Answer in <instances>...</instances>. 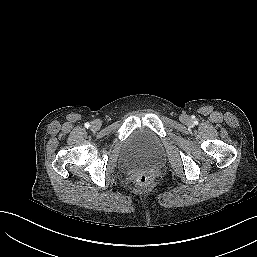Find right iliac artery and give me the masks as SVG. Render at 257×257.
Here are the masks:
<instances>
[{
	"label": "right iliac artery",
	"mask_w": 257,
	"mask_h": 257,
	"mask_svg": "<svg viewBox=\"0 0 257 257\" xmlns=\"http://www.w3.org/2000/svg\"><path fill=\"white\" fill-rule=\"evenodd\" d=\"M85 127H86V128H89V127H90V124H89V123H85Z\"/></svg>",
	"instance_id": "right-iliac-artery-1"
}]
</instances>
